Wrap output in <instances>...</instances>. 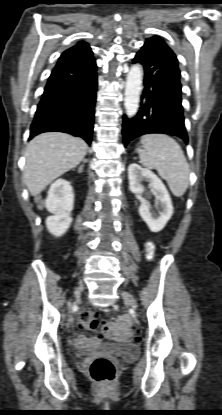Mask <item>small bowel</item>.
<instances>
[{"mask_svg": "<svg viewBox=\"0 0 222 415\" xmlns=\"http://www.w3.org/2000/svg\"><path fill=\"white\" fill-rule=\"evenodd\" d=\"M146 248H147L148 254H149L150 256H152L153 251H154V244H153V242H151V241H147V242H146ZM79 341H85V338H84V337H80V338H79Z\"/></svg>", "mask_w": 222, "mask_h": 415, "instance_id": "small-bowel-1", "label": "small bowel"}]
</instances>
